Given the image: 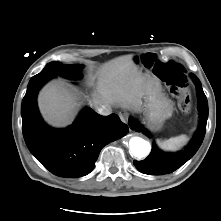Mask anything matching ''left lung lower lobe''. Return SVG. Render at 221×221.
<instances>
[{
    "label": "left lung lower lobe",
    "mask_w": 221,
    "mask_h": 221,
    "mask_svg": "<svg viewBox=\"0 0 221 221\" xmlns=\"http://www.w3.org/2000/svg\"><path fill=\"white\" fill-rule=\"evenodd\" d=\"M191 78L196 84L197 94H198V103H199V114H200V123L199 128L184 151L172 154L164 153L160 151L156 145H153L151 153L143 161H134L135 167L144 174L149 175H164L171 173L181 167L186 163L199 149L206 131V123L208 118V102L207 98L201 87V82L196 75L191 74ZM129 126L131 129H136L139 132H143L145 135L150 136L146 129L134 119H129Z\"/></svg>",
    "instance_id": "0a47b994"
}]
</instances>
